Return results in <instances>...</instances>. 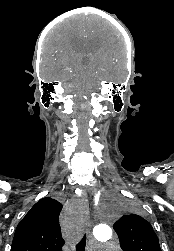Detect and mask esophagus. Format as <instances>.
Here are the masks:
<instances>
[{"instance_id": "esophagus-1", "label": "esophagus", "mask_w": 174, "mask_h": 251, "mask_svg": "<svg viewBox=\"0 0 174 251\" xmlns=\"http://www.w3.org/2000/svg\"><path fill=\"white\" fill-rule=\"evenodd\" d=\"M81 217L82 224L85 228L89 229L90 227V211H89V203L86 196L82 199V207H81Z\"/></svg>"}]
</instances>
